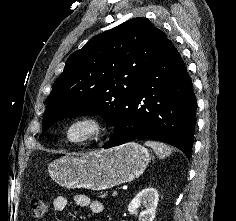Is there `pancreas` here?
I'll list each match as a JSON object with an SVG mask.
<instances>
[{
	"instance_id": "obj_1",
	"label": "pancreas",
	"mask_w": 236,
	"mask_h": 221,
	"mask_svg": "<svg viewBox=\"0 0 236 221\" xmlns=\"http://www.w3.org/2000/svg\"><path fill=\"white\" fill-rule=\"evenodd\" d=\"M106 196H107L106 193H101L99 197H100V198H105Z\"/></svg>"
}]
</instances>
